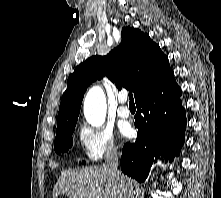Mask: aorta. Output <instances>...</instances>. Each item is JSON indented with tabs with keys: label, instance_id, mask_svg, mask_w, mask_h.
Wrapping results in <instances>:
<instances>
[{
	"label": "aorta",
	"instance_id": "aorta-1",
	"mask_svg": "<svg viewBox=\"0 0 221 198\" xmlns=\"http://www.w3.org/2000/svg\"><path fill=\"white\" fill-rule=\"evenodd\" d=\"M106 98L103 90L99 86L92 87L84 100V115L87 122L100 127L106 116Z\"/></svg>",
	"mask_w": 221,
	"mask_h": 198
}]
</instances>
